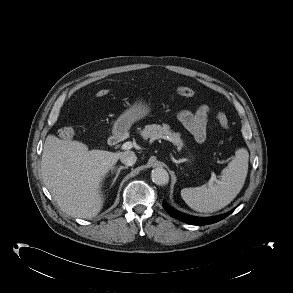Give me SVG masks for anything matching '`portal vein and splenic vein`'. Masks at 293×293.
<instances>
[{
  "label": "portal vein and splenic vein",
  "instance_id": "portal-vein-and-splenic-vein-1",
  "mask_svg": "<svg viewBox=\"0 0 293 293\" xmlns=\"http://www.w3.org/2000/svg\"><path fill=\"white\" fill-rule=\"evenodd\" d=\"M133 147H134V143H132V142H125V143L121 146V148H122L123 150H128V149H131V148H133ZM211 181H216V176H215L214 173H212Z\"/></svg>",
  "mask_w": 293,
  "mask_h": 293
}]
</instances>
